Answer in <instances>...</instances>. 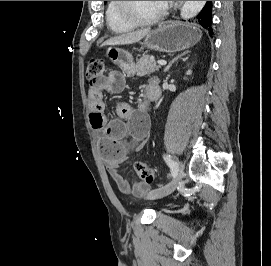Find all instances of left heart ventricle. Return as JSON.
<instances>
[{"label": "left heart ventricle", "instance_id": "obj_1", "mask_svg": "<svg viewBox=\"0 0 271 266\" xmlns=\"http://www.w3.org/2000/svg\"><path fill=\"white\" fill-rule=\"evenodd\" d=\"M131 12L140 19L156 15L162 8L161 1H129Z\"/></svg>", "mask_w": 271, "mask_h": 266}]
</instances>
